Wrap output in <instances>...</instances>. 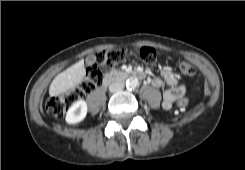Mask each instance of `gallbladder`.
<instances>
[{
  "label": "gallbladder",
  "mask_w": 245,
  "mask_h": 170,
  "mask_svg": "<svg viewBox=\"0 0 245 170\" xmlns=\"http://www.w3.org/2000/svg\"><path fill=\"white\" fill-rule=\"evenodd\" d=\"M96 60V57H95V55H93V54H91V55H89L88 57H87V62L88 63H92V62H94Z\"/></svg>",
  "instance_id": "1"
}]
</instances>
